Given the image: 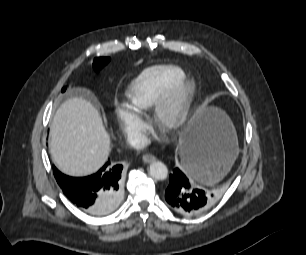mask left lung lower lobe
I'll use <instances>...</instances> for the list:
<instances>
[{
	"label": "left lung lower lobe",
	"instance_id": "1",
	"mask_svg": "<svg viewBox=\"0 0 306 255\" xmlns=\"http://www.w3.org/2000/svg\"><path fill=\"white\" fill-rule=\"evenodd\" d=\"M216 154L196 144H190L183 155V168H175L169 177L165 199L171 209L185 216H193L207 210L214 203L213 194L194 188L189 177L192 173L204 175L214 170Z\"/></svg>",
	"mask_w": 306,
	"mask_h": 255
}]
</instances>
